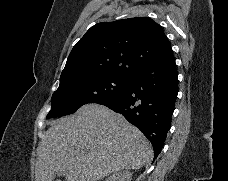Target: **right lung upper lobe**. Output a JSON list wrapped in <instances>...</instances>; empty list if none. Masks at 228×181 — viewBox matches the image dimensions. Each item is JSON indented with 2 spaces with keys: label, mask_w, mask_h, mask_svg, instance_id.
Instances as JSON below:
<instances>
[{
  "label": "right lung upper lobe",
  "mask_w": 228,
  "mask_h": 181,
  "mask_svg": "<svg viewBox=\"0 0 228 181\" xmlns=\"http://www.w3.org/2000/svg\"><path fill=\"white\" fill-rule=\"evenodd\" d=\"M171 53L161 26L150 18L101 22L92 26L73 47L59 86L100 75L131 77Z\"/></svg>",
  "instance_id": "obj_1"
}]
</instances>
